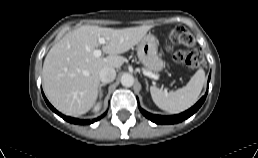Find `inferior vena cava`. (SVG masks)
Returning a JSON list of instances; mask_svg holds the SVG:
<instances>
[{"instance_id": "obj_1", "label": "inferior vena cava", "mask_w": 258, "mask_h": 158, "mask_svg": "<svg viewBox=\"0 0 258 158\" xmlns=\"http://www.w3.org/2000/svg\"><path fill=\"white\" fill-rule=\"evenodd\" d=\"M116 77V71L112 67H104L99 72V79L103 83H110Z\"/></svg>"}]
</instances>
